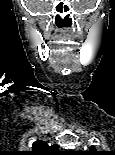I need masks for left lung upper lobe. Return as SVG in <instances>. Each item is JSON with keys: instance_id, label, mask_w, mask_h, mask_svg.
<instances>
[{"instance_id": "5c2ea615", "label": "left lung upper lobe", "mask_w": 115, "mask_h": 155, "mask_svg": "<svg viewBox=\"0 0 115 155\" xmlns=\"http://www.w3.org/2000/svg\"><path fill=\"white\" fill-rule=\"evenodd\" d=\"M90 152H91V154L90 155H98V154H96V153H101V152H98L96 149H95V146H91L90 147Z\"/></svg>"}]
</instances>
